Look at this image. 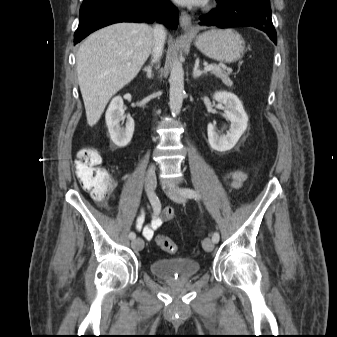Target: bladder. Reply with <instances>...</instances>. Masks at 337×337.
Here are the masks:
<instances>
[{
	"mask_svg": "<svg viewBox=\"0 0 337 337\" xmlns=\"http://www.w3.org/2000/svg\"><path fill=\"white\" fill-rule=\"evenodd\" d=\"M200 264L192 259L173 257L156 259L152 261L150 270L152 274L160 278H191L200 271Z\"/></svg>",
	"mask_w": 337,
	"mask_h": 337,
	"instance_id": "1",
	"label": "bladder"
}]
</instances>
